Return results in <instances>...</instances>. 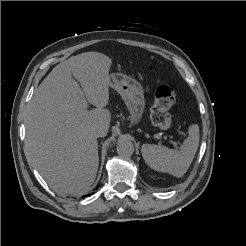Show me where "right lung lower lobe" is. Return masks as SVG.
Wrapping results in <instances>:
<instances>
[{
	"label": "right lung lower lobe",
	"instance_id": "right-lung-lower-lobe-1",
	"mask_svg": "<svg viewBox=\"0 0 246 246\" xmlns=\"http://www.w3.org/2000/svg\"><path fill=\"white\" fill-rule=\"evenodd\" d=\"M98 188V187H97ZM87 196H90V194H88V195H86V196H84V197H87Z\"/></svg>",
	"mask_w": 246,
	"mask_h": 246
}]
</instances>
